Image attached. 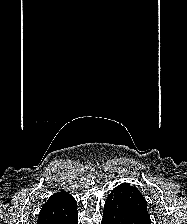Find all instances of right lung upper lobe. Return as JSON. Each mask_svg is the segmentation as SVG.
Masks as SVG:
<instances>
[{
    "label": "right lung upper lobe",
    "mask_w": 187,
    "mask_h": 224,
    "mask_svg": "<svg viewBox=\"0 0 187 224\" xmlns=\"http://www.w3.org/2000/svg\"><path fill=\"white\" fill-rule=\"evenodd\" d=\"M77 209L76 200L68 192L53 194L43 205L37 224H59Z\"/></svg>",
    "instance_id": "cb5924a9"
}]
</instances>
